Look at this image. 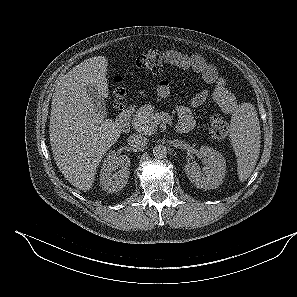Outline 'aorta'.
Wrapping results in <instances>:
<instances>
[{
    "mask_svg": "<svg viewBox=\"0 0 297 297\" xmlns=\"http://www.w3.org/2000/svg\"><path fill=\"white\" fill-rule=\"evenodd\" d=\"M153 156L158 159L165 158L167 156V148L164 145H155L153 148Z\"/></svg>",
    "mask_w": 297,
    "mask_h": 297,
    "instance_id": "aorta-1",
    "label": "aorta"
}]
</instances>
